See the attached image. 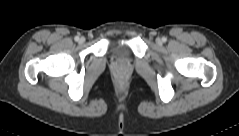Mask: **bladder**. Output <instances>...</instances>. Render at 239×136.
<instances>
[{"label":"bladder","mask_w":239,"mask_h":136,"mask_svg":"<svg viewBox=\"0 0 239 136\" xmlns=\"http://www.w3.org/2000/svg\"><path fill=\"white\" fill-rule=\"evenodd\" d=\"M127 42H121V41H113L111 42V52L114 55H121L126 53L127 51Z\"/></svg>","instance_id":"obj_1"}]
</instances>
